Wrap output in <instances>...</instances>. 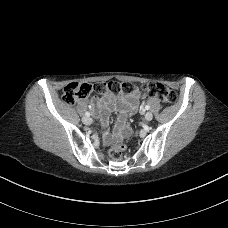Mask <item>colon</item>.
<instances>
[{"mask_svg":"<svg viewBox=\"0 0 228 228\" xmlns=\"http://www.w3.org/2000/svg\"><path fill=\"white\" fill-rule=\"evenodd\" d=\"M134 90V85L129 82L118 83L111 81L108 83H97L95 85L73 82L66 85L63 89L62 100L67 105H72L76 101L88 97L93 92L99 95L109 93L115 96L122 95L128 97L134 92ZM142 90L145 95L156 97L164 104H172L177 99L176 93L161 83L152 82L145 84L143 85ZM125 150L126 146L120 141H117V143L110 149V157L116 161L121 160Z\"/></svg>","mask_w":228,"mask_h":228,"instance_id":"obj_1","label":"colon"}]
</instances>
